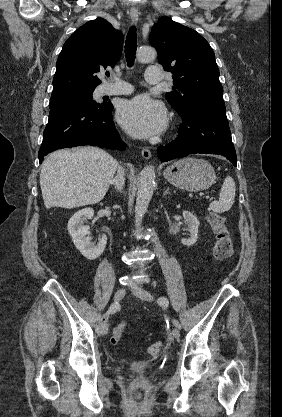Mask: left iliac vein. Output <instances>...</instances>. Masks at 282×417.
<instances>
[{
    "label": "left iliac vein",
    "instance_id": "4c4485c4",
    "mask_svg": "<svg viewBox=\"0 0 282 417\" xmlns=\"http://www.w3.org/2000/svg\"><path fill=\"white\" fill-rule=\"evenodd\" d=\"M131 291L136 297H139V298H141L145 301H149V302L153 301L152 295L148 291L144 290L143 288H141L139 286H136V285L133 286ZM172 335L175 339H178L180 337L179 329L178 328L173 329Z\"/></svg>",
    "mask_w": 282,
    "mask_h": 417
}]
</instances>
